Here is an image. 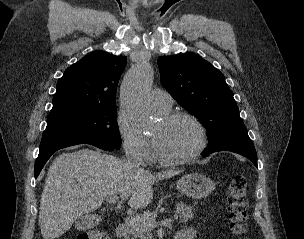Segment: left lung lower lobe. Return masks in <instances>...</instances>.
<instances>
[{
	"mask_svg": "<svg viewBox=\"0 0 304 239\" xmlns=\"http://www.w3.org/2000/svg\"><path fill=\"white\" fill-rule=\"evenodd\" d=\"M222 150L232 151L241 154L247 157L249 160H251L253 164L257 167V154L254 146H235V147L221 148L213 151H204L203 156L206 157L210 153L222 151Z\"/></svg>",
	"mask_w": 304,
	"mask_h": 239,
	"instance_id": "0a47b994",
	"label": "left lung lower lobe"
}]
</instances>
